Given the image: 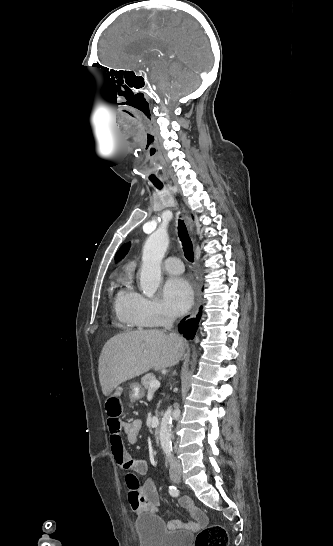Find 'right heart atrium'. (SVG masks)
Segmentation results:
<instances>
[{
  "instance_id": "d8ad5b80",
  "label": "right heart atrium",
  "mask_w": 333,
  "mask_h": 546,
  "mask_svg": "<svg viewBox=\"0 0 333 546\" xmlns=\"http://www.w3.org/2000/svg\"><path fill=\"white\" fill-rule=\"evenodd\" d=\"M133 316L143 325L155 326L169 321V315L156 300L149 299L137 292L131 302Z\"/></svg>"
}]
</instances>
